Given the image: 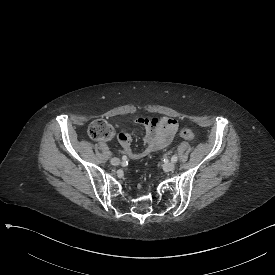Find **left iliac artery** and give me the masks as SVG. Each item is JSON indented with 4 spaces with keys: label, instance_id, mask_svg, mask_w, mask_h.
Returning <instances> with one entry per match:
<instances>
[{
    "label": "left iliac artery",
    "instance_id": "1",
    "mask_svg": "<svg viewBox=\"0 0 275 275\" xmlns=\"http://www.w3.org/2000/svg\"><path fill=\"white\" fill-rule=\"evenodd\" d=\"M178 160V156L175 154L172 156L171 161L176 162Z\"/></svg>",
    "mask_w": 275,
    "mask_h": 275
}]
</instances>
